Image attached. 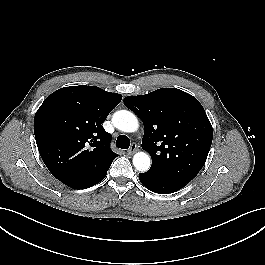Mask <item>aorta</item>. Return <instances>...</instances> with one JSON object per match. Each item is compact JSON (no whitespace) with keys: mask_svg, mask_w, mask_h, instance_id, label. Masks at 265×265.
Instances as JSON below:
<instances>
[{"mask_svg":"<svg viewBox=\"0 0 265 265\" xmlns=\"http://www.w3.org/2000/svg\"><path fill=\"white\" fill-rule=\"evenodd\" d=\"M114 126L123 132H135L139 127L137 117L130 111L120 110L113 114ZM133 165L140 172H146L151 165L150 157L145 152H138L133 157Z\"/></svg>","mask_w":265,"mask_h":265,"instance_id":"aorta-1","label":"aorta"}]
</instances>
